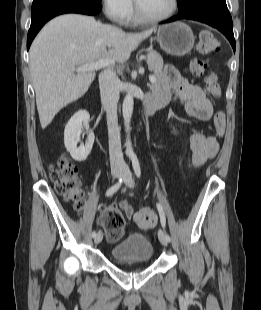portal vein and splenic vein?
<instances>
[{"label": "portal vein and splenic vein", "mask_w": 261, "mask_h": 310, "mask_svg": "<svg viewBox=\"0 0 261 310\" xmlns=\"http://www.w3.org/2000/svg\"><path fill=\"white\" fill-rule=\"evenodd\" d=\"M114 64H115V60H113V59H99L98 61H96L94 63L85 64V65L79 66L76 69V71L77 72L93 71V70L101 69L103 67H106V66H109V65H114ZM149 81L151 83L156 82L155 76L150 75L149 76Z\"/></svg>", "instance_id": "obj_1"}]
</instances>
